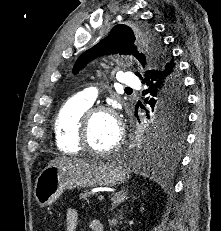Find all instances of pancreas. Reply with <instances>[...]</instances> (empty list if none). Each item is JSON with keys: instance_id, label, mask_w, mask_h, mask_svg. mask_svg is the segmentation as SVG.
Instances as JSON below:
<instances>
[{"instance_id": "1", "label": "pancreas", "mask_w": 221, "mask_h": 231, "mask_svg": "<svg viewBox=\"0 0 221 231\" xmlns=\"http://www.w3.org/2000/svg\"><path fill=\"white\" fill-rule=\"evenodd\" d=\"M92 193L89 192L88 190L84 191L83 193L80 194V198L83 200H87V197L91 196Z\"/></svg>"}]
</instances>
